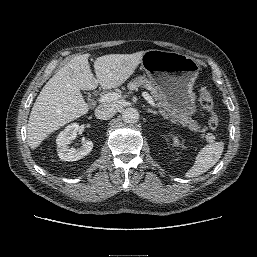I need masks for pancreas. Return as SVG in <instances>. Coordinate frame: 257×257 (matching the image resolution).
Returning a JSON list of instances; mask_svg holds the SVG:
<instances>
[{
  "label": "pancreas",
  "instance_id": "cf45deb5",
  "mask_svg": "<svg viewBox=\"0 0 257 257\" xmlns=\"http://www.w3.org/2000/svg\"><path fill=\"white\" fill-rule=\"evenodd\" d=\"M138 87H144L150 90L152 97L157 101L160 114L165 119H171L172 122L182 125L183 127H188L191 131L202 133L206 131L207 128L201 129V126L197 122L174 110L159 87L145 76H139L128 84V89L130 90H134ZM201 138L204 139L205 135L202 134Z\"/></svg>",
  "mask_w": 257,
  "mask_h": 257
}]
</instances>
